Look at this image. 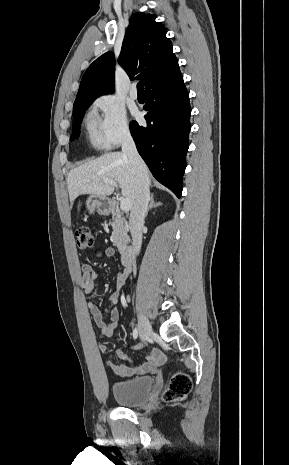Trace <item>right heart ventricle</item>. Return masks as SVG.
Masks as SVG:
<instances>
[{
	"label": "right heart ventricle",
	"instance_id": "1",
	"mask_svg": "<svg viewBox=\"0 0 289 465\" xmlns=\"http://www.w3.org/2000/svg\"><path fill=\"white\" fill-rule=\"evenodd\" d=\"M85 129L89 144L98 150H104L109 147L101 128V120L97 112L92 109L85 118Z\"/></svg>",
	"mask_w": 289,
	"mask_h": 465
}]
</instances>
